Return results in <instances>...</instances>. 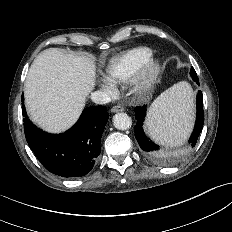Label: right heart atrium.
<instances>
[{"label":"right heart atrium","instance_id":"d8ad5b80","mask_svg":"<svg viewBox=\"0 0 232 232\" xmlns=\"http://www.w3.org/2000/svg\"><path fill=\"white\" fill-rule=\"evenodd\" d=\"M102 86L106 90V92L109 94H112L115 92L114 84L108 79H105V78L102 79Z\"/></svg>","mask_w":232,"mask_h":232}]
</instances>
